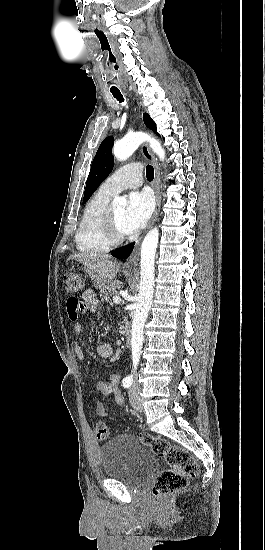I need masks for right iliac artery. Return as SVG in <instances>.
Returning <instances> with one entry per match:
<instances>
[{"label":"right iliac artery","instance_id":"1","mask_svg":"<svg viewBox=\"0 0 265 550\" xmlns=\"http://www.w3.org/2000/svg\"><path fill=\"white\" fill-rule=\"evenodd\" d=\"M132 384V381L130 378H124L123 381H122V385L124 388H128L130 387Z\"/></svg>","mask_w":265,"mask_h":550}]
</instances>
